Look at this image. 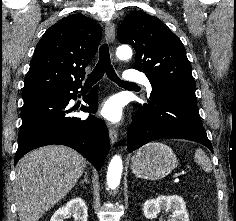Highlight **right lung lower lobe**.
<instances>
[{"instance_id": "98d812e1", "label": "right lung lower lobe", "mask_w": 236, "mask_h": 221, "mask_svg": "<svg viewBox=\"0 0 236 221\" xmlns=\"http://www.w3.org/2000/svg\"><path fill=\"white\" fill-rule=\"evenodd\" d=\"M79 85L57 90L54 94H34L23 98L22 125L14 164L29 151L51 144L69 146L92 162L99 170L109 150V136L105 123L89 116L86 120L69 116L68 107L76 99ZM97 87L84 97L83 112L97 111Z\"/></svg>"}]
</instances>
